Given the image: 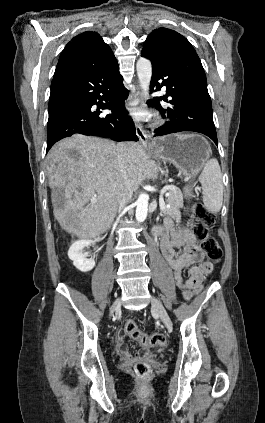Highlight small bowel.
I'll use <instances>...</instances> for the list:
<instances>
[{
    "label": "small bowel",
    "mask_w": 265,
    "mask_h": 423,
    "mask_svg": "<svg viewBox=\"0 0 265 423\" xmlns=\"http://www.w3.org/2000/svg\"><path fill=\"white\" fill-rule=\"evenodd\" d=\"M162 235L161 251L174 273L175 283L183 291L185 299L189 300L202 288L204 276L212 271L210 262L204 260L199 251L193 232L181 225H176L171 218H165L163 224L158 227ZM177 247H182L181 253L176 252ZM188 269V279H184L183 270ZM125 333L120 330L117 334L116 347L118 352L126 360L132 355L124 342Z\"/></svg>",
    "instance_id": "small-bowel-1"
}]
</instances>
